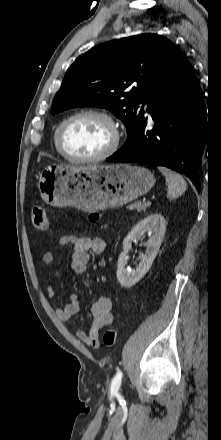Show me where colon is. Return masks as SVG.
Listing matches in <instances>:
<instances>
[{
    "label": "colon",
    "mask_w": 221,
    "mask_h": 440,
    "mask_svg": "<svg viewBox=\"0 0 221 440\" xmlns=\"http://www.w3.org/2000/svg\"><path fill=\"white\" fill-rule=\"evenodd\" d=\"M99 219V214L93 212L90 214V220L96 222ZM31 222L35 229L37 230H47L49 227V220L46 211L41 206H35L31 214ZM118 340V329L112 327L108 329L103 336V343L106 347H114Z\"/></svg>",
    "instance_id": "5ec220e1"
}]
</instances>
